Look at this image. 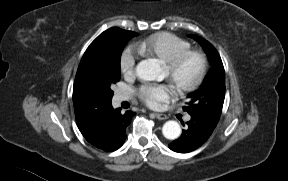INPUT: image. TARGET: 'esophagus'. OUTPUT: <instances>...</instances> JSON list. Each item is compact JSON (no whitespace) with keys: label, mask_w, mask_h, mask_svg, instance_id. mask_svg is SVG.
Here are the masks:
<instances>
[{"label":"esophagus","mask_w":288,"mask_h":181,"mask_svg":"<svg viewBox=\"0 0 288 181\" xmlns=\"http://www.w3.org/2000/svg\"><path fill=\"white\" fill-rule=\"evenodd\" d=\"M155 117L159 120H166L168 117L165 114L162 113H154Z\"/></svg>","instance_id":"obj_1"}]
</instances>
